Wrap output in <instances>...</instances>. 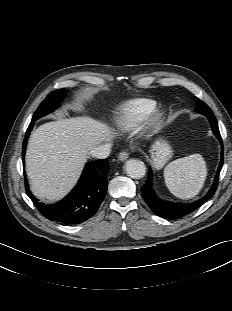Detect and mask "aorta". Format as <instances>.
<instances>
[{"label": "aorta", "mask_w": 232, "mask_h": 311, "mask_svg": "<svg viewBox=\"0 0 232 311\" xmlns=\"http://www.w3.org/2000/svg\"><path fill=\"white\" fill-rule=\"evenodd\" d=\"M126 174L134 179L144 177L146 173V166L144 162L137 159H130L125 163Z\"/></svg>", "instance_id": "aorta-1"}]
</instances>
